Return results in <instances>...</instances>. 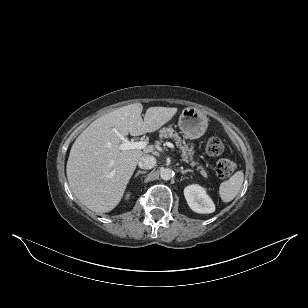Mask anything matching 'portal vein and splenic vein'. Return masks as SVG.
<instances>
[{"mask_svg": "<svg viewBox=\"0 0 308 308\" xmlns=\"http://www.w3.org/2000/svg\"><path fill=\"white\" fill-rule=\"evenodd\" d=\"M116 134L122 140V143L118 146L119 150L145 149V148H147V142L146 141L131 142V141H128L120 132L116 131ZM166 145L171 149H175V146L170 142H166Z\"/></svg>", "mask_w": 308, "mask_h": 308, "instance_id": "18ae733b", "label": "portal vein and splenic vein"}]
</instances>
